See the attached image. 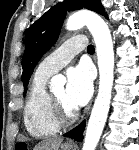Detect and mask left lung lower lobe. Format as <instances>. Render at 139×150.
<instances>
[{"label": "left lung lower lobe", "instance_id": "obj_1", "mask_svg": "<svg viewBox=\"0 0 139 150\" xmlns=\"http://www.w3.org/2000/svg\"><path fill=\"white\" fill-rule=\"evenodd\" d=\"M84 128H85V121H83L80 125L72 129L71 131L65 133L64 136L73 138L76 141L81 142L83 139Z\"/></svg>", "mask_w": 139, "mask_h": 150}]
</instances>
